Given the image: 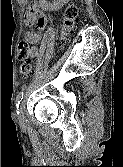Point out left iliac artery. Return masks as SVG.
Wrapping results in <instances>:
<instances>
[{"label": "left iliac artery", "instance_id": "obj_1", "mask_svg": "<svg viewBox=\"0 0 123 167\" xmlns=\"http://www.w3.org/2000/svg\"><path fill=\"white\" fill-rule=\"evenodd\" d=\"M23 96H24V91L19 92L18 95L16 96L15 106L17 108V114H19V105L23 99Z\"/></svg>", "mask_w": 123, "mask_h": 167}]
</instances>
